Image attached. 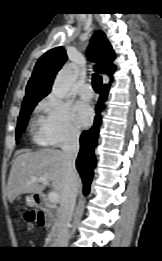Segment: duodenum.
<instances>
[{
  "instance_id": "obj_1",
  "label": "duodenum",
  "mask_w": 162,
  "mask_h": 261,
  "mask_svg": "<svg viewBox=\"0 0 162 261\" xmlns=\"http://www.w3.org/2000/svg\"><path fill=\"white\" fill-rule=\"evenodd\" d=\"M34 203L37 208L44 212L43 213L42 211H40L43 214L44 220L41 226H44L46 224L50 225L52 220L51 216L55 215V209H50L47 207L46 198L43 194H36L34 196Z\"/></svg>"
}]
</instances>
